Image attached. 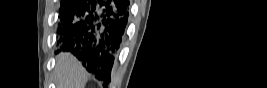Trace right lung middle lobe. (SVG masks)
Wrapping results in <instances>:
<instances>
[{
  "label": "right lung middle lobe",
  "instance_id": "right-lung-middle-lobe-1",
  "mask_svg": "<svg viewBox=\"0 0 267 88\" xmlns=\"http://www.w3.org/2000/svg\"><path fill=\"white\" fill-rule=\"evenodd\" d=\"M69 4H70V0H62L60 9H62L64 6H67Z\"/></svg>",
  "mask_w": 267,
  "mask_h": 88
}]
</instances>
